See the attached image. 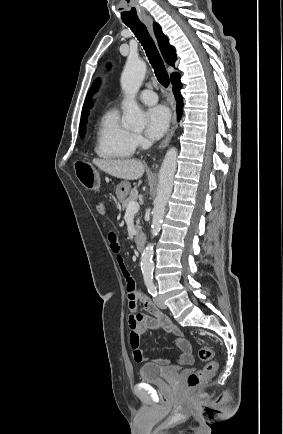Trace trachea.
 I'll list each match as a JSON object with an SVG mask.
<instances>
[{
  "label": "trachea",
  "instance_id": "obj_1",
  "mask_svg": "<svg viewBox=\"0 0 283 434\" xmlns=\"http://www.w3.org/2000/svg\"><path fill=\"white\" fill-rule=\"evenodd\" d=\"M126 25L132 30L136 38L143 46L145 53L154 69V73L165 88L169 86V75L166 71L164 62L159 54V51L150 36L146 26L141 22L126 23Z\"/></svg>",
  "mask_w": 283,
  "mask_h": 434
}]
</instances>
